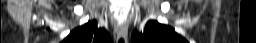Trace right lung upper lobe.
<instances>
[{"instance_id":"right-lung-upper-lobe-1","label":"right lung upper lobe","mask_w":256,"mask_h":43,"mask_svg":"<svg viewBox=\"0 0 256 43\" xmlns=\"http://www.w3.org/2000/svg\"><path fill=\"white\" fill-rule=\"evenodd\" d=\"M62 43H112V40L104 28L98 29L94 20L73 30Z\"/></svg>"}]
</instances>
